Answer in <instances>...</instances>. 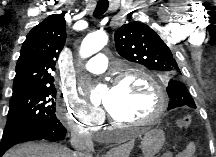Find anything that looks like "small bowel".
Returning <instances> with one entry per match:
<instances>
[{"label": "small bowel", "mask_w": 216, "mask_h": 157, "mask_svg": "<svg viewBox=\"0 0 216 157\" xmlns=\"http://www.w3.org/2000/svg\"><path fill=\"white\" fill-rule=\"evenodd\" d=\"M195 153V144L190 142L186 147L178 153V157H192Z\"/></svg>", "instance_id": "small-bowel-1"}]
</instances>
